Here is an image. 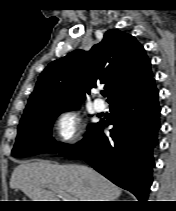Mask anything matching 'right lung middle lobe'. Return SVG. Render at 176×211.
Wrapping results in <instances>:
<instances>
[{"mask_svg":"<svg viewBox=\"0 0 176 211\" xmlns=\"http://www.w3.org/2000/svg\"><path fill=\"white\" fill-rule=\"evenodd\" d=\"M64 110L59 108L48 109L22 118L12 155L27 157L41 153H60L70 147L68 144L57 143L51 137L52 123ZM94 126L95 124H90L88 131Z\"/></svg>","mask_w":176,"mask_h":211,"instance_id":"obj_1","label":"right lung middle lobe"}]
</instances>
